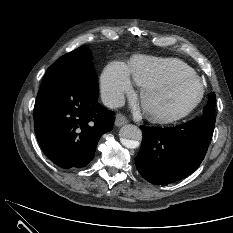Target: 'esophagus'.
Returning a JSON list of instances; mask_svg holds the SVG:
<instances>
[{"instance_id": "obj_1", "label": "esophagus", "mask_w": 233, "mask_h": 233, "mask_svg": "<svg viewBox=\"0 0 233 233\" xmlns=\"http://www.w3.org/2000/svg\"><path fill=\"white\" fill-rule=\"evenodd\" d=\"M128 122L127 118L121 114V113H118L115 117V125L116 126H122L124 124H126Z\"/></svg>"}]
</instances>
